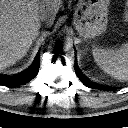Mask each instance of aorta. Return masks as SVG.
I'll return each mask as SVG.
<instances>
[{"label":"aorta","instance_id":"762f6f07","mask_svg":"<svg viewBox=\"0 0 128 128\" xmlns=\"http://www.w3.org/2000/svg\"><path fill=\"white\" fill-rule=\"evenodd\" d=\"M72 46V40L70 38H65L64 42L62 43V48L65 50L70 49Z\"/></svg>","mask_w":128,"mask_h":128}]
</instances>
